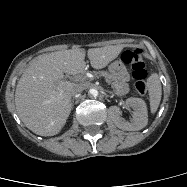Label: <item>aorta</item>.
<instances>
[{
	"label": "aorta",
	"mask_w": 187,
	"mask_h": 187,
	"mask_svg": "<svg viewBox=\"0 0 187 187\" xmlns=\"http://www.w3.org/2000/svg\"><path fill=\"white\" fill-rule=\"evenodd\" d=\"M89 93H90L92 96H94V97L98 96V91H97L96 89H90V90H89Z\"/></svg>",
	"instance_id": "aorta-1"
}]
</instances>
